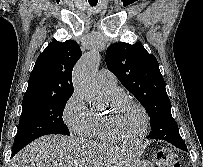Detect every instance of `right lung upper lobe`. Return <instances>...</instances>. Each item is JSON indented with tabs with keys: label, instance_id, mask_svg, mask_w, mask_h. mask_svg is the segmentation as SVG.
Returning a JSON list of instances; mask_svg holds the SVG:
<instances>
[{
	"label": "right lung upper lobe",
	"instance_id": "cb5924a9",
	"mask_svg": "<svg viewBox=\"0 0 203 167\" xmlns=\"http://www.w3.org/2000/svg\"><path fill=\"white\" fill-rule=\"evenodd\" d=\"M81 55L75 41L53 40L36 60L23 101L71 96L72 70Z\"/></svg>",
	"mask_w": 203,
	"mask_h": 167
}]
</instances>
